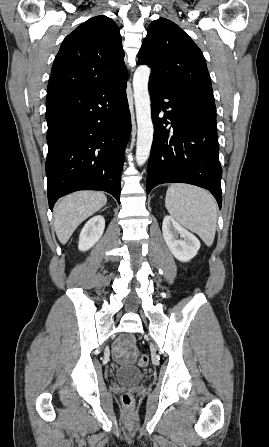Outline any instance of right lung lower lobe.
<instances>
[{
  "instance_id": "right-lung-lower-lobe-1",
  "label": "right lung lower lobe",
  "mask_w": 269,
  "mask_h": 447,
  "mask_svg": "<svg viewBox=\"0 0 269 447\" xmlns=\"http://www.w3.org/2000/svg\"><path fill=\"white\" fill-rule=\"evenodd\" d=\"M127 75L101 84L48 93L46 175L52 210L61 196L103 190L120 203L125 147L131 131Z\"/></svg>"
}]
</instances>
